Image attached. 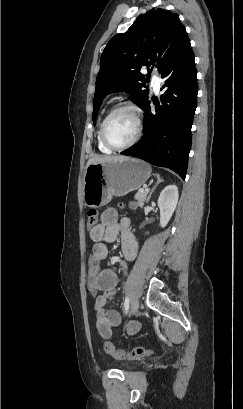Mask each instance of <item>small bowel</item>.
I'll list each match as a JSON object with an SVG mask.
<instances>
[{
  "label": "small bowel",
  "instance_id": "1",
  "mask_svg": "<svg viewBox=\"0 0 243 409\" xmlns=\"http://www.w3.org/2000/svg\"><path fill=\"white\" fill-rule=\"evenodd\" d=\"M129 218L118 220V212L113 208H107L101 215V222L90 230L89 236L94 242L93 254L90 258L89 288L92 292H101L95 299L96 326L100 336L109 339L114 327L121 323V317L117 310L106 309V305L113 302L117 296V275L110 269H99V262L108 258L109 248L107 243H112L118 236L121 237L122 259L121 266L133 261L137 256L138 244L130 230ZM93 268H96L93 271ZM136 327H132L135 331Z\"/></svg>",
  "mask_w": 243,
  "mask_h": 409
}]
</instances>
